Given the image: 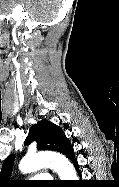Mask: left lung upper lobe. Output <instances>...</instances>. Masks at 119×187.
I'll return each instance as SVG.
<instances>
[{"mask_svg": "<svg viewBox=\"0 0 119 187\" xmlns=\"http://www.w3.org/2000/svg\"><path fill=\"white\" fill-rule=\"evenodd\" d=\"M32 141L37 142V148L39 150L56 151L65 156L72 147L62 129L56 124L44 119L38 121L37 124L30 128L29 135L24 144L29 145ZM14 159L13 154L5 159L0 172V187L15 186L17 183L16 181L9 180Z\"/></svg>", "mask_w": 119, "mask_h": 187, "instance_id": "left-lung-upper-lobe-1", "label": "left lung upper lobe"}]
</instances>
